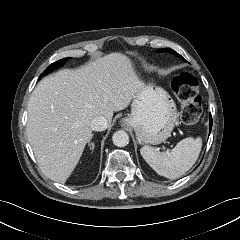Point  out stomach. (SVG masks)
<instances>
[{
    "instance_id": "obj_1",
    "label": "stomach",
    "mask_w": 240,
    "mask_h": 240,
    "mask_svg": "<svg viewBox=\"0 0 240 240\" xmlns=\"http://www.w3.org/2000/svg\"><path fill=\"white\" fill-rule=\"evenodd\" d=\"M177 117L171 96L163 88L148 84L135 94L131 113L121 122L134 129L140 144H160L171 135Z\"/></svg>"
}]
</instances>
